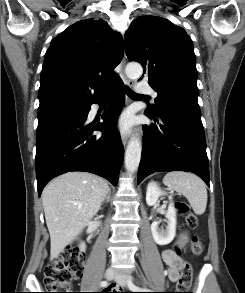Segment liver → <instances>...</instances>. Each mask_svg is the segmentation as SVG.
<instances>
[{"instance_id":"1","label":"liver","mask_w":245,"mask_h":293,"mask_svg":"<svg viewBox=\"0 0 245 293\" xmlns=\"http://www.w3.org/2000/svg\"><path fill=\"white\" fill-rule=\"evenodd\" d=\"M109 190L103 178L87 172L65 173L44 188L42 204L50 233L51 260L83 231Z\"/></svg>"}]
</instances>
